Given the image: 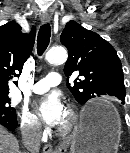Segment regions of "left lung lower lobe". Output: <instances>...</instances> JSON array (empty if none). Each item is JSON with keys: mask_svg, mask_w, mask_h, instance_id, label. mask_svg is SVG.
<instances>
[{"mask_svg": "<svg viewBox=\"0 0 130 153\" xmlns=\"http://www.w3.org/2000/svg\"><path fill=\"white\" fill-rule=\"evenodd\" d=\"M123 101L122 103H124V100H121ZM107 111L105 110H102V111H98V110H95V109H89L86 114H85V118L87 120H90V119H93L94 117L100 115V114H105Z\"/></svg>", "mask_w": 130, "mask_h": 153, "instance_id": "obj_1", "label": "left lung lower lobe"}]
</instances>
